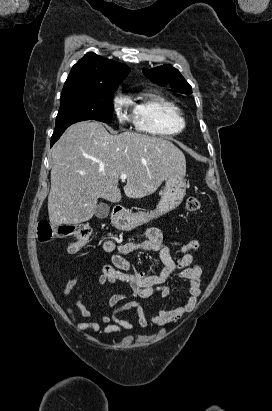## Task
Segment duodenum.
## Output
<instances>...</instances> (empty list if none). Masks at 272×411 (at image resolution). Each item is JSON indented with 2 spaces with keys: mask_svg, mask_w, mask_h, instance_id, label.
Masks as SVG:
<instances>
[{
  "mask_svg": "<svg viewBox=\"0 0 272 411\" xmlns=\"http://www.w3.org/2000/svg\"><path fill=\"white\" fill-rule=\"evenodd\" d=\"M124 211V208L121 205H117L114 208V214L115 215H120Z\"/></svg>",
  "mask_w": 272,
  "mask_h": 411,
  "instance_id": "duodenum-1",
  "label": "duodenum"
}]
</instances>
